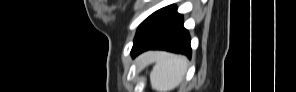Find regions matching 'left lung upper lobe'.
<instances>
[{"label":"left lung upper lobe","mask_w":296,"mask_h":92,"mask_svg":"<svg viewBox=\"0 0 296 92\" xmlns=\"http://www.w3.org/2000/svg\"><path fill=\"white\" fill-rule=\"evenodd\" d=\"M164 9L165 8H162L154 12L140 24L134 38L133 46H135L145 38V36L152 29V27L154 26L155 22L157 21V19L159 18V16L161 15Z\"/></svg>","instance_id":"1"}]
</instances>
